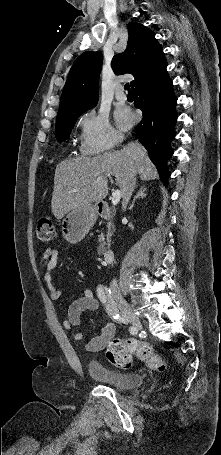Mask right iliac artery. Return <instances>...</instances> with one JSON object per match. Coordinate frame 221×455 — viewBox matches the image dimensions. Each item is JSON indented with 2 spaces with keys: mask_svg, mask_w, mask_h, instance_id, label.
I'll list each match as a JSON object with an SVG mask.
<instances>
[{
  "mask_svg": "<svg viewBox=\"0 0 221 455\" xmlns=\"http://www.w3.org/2000/svg\"><path fill=\"white\" fill-rule=\"evenodd\" d=\"M97 296L105 306L106 312L109 316H111V318L120 323H126L128 321L126 315L120 314L117 305L111 295L110 289H108L106 286L99 285L97 287ZM129 332L133 337L137 336L136 329L131 328Z\"/></svg>",
  "mask_w": 221,
  "mask_h": 455,
  "instance_id": "right-iliac-artery-1",
  "label": "right iliac artery"
}]
</instances>
